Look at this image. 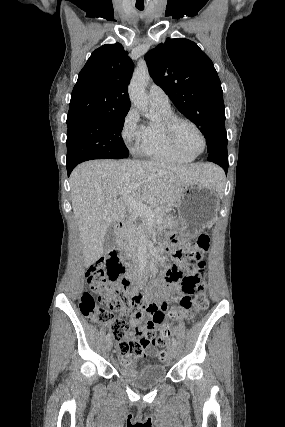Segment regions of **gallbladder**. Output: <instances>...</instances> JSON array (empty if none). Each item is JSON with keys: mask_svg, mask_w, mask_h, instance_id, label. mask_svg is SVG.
Instances as JSON below:
<instances>
[{"mask_svg": "<svg viewBox=\"0 0 285 427\" xmlns=\"http://www.w3.org/2000/svg\"><path fill=\"white\" fill-rule=\"evenodd\" d=\"M115 245H116V234H115L114 226L111 224L107 229L104 243H103L104 253H107L112 249H114Z\"/></svg>", "mask_w": 285, "mask_h": 427, "instance_id": "gallbladder-1", "label": "gallbladder"}]
</instances>
